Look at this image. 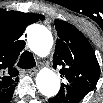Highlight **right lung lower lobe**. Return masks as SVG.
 Masks as SVG:
<instances>
[{
    "label": "right lung lower lobe",
    "instance_id": "obj_1",
    "mask_svg": "<svg viewBox=\"0 0 103 103\" xmlns=\"http://www.w3.org/2000/svg\"><path fill=\"white\" fill-rule=\"evenodd\" d=\"M14 91V90H13ZM13 91H11L9 94H7L4 98H3V103H7L11 100L12 95H13Z\"/></svg>",
    "mask_w": 103,
    "mask_h": 103
}]
</instances>
